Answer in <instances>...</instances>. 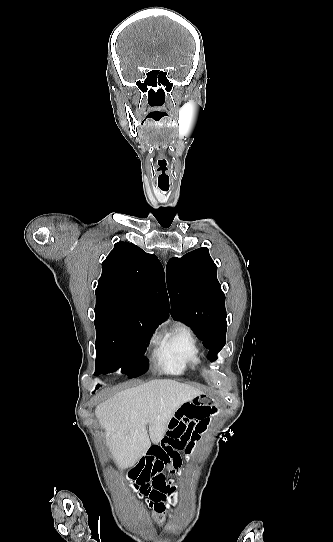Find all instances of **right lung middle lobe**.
<instances>
[{
    "label": "right lung middle lobe",
    "mask_w": 333,
    "mask_h": 542,
    "mask_svg": "<svg viewBox=\"0 0 333 542\" xmlns=\"http://www.w3.org/2000/svg\"><path fill=\"white\" fill-rule=\"evenodd\" d=\"M96 328L95 375L122 368V373L134 378L145 373L148 359L144 356L155 330L145 318L109 310L95 311Z\"/></svg>",
    "instance_id": "obj_1"
}]
</instances>
